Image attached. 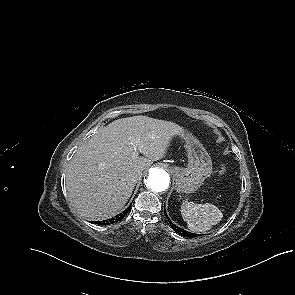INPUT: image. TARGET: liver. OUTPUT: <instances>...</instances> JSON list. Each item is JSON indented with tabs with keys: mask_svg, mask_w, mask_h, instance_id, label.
<instances>
[{
	"mask_svg": "<svg viewBox=\"0 0 295 295\" xmlns=\"http://www.w3.org/2000/svg\"><path fill=\"white\" fill-rule=\"evenodd\" d=\"M179 125L133 116L117 119L81 145L69 164L66 189L71 206L90 220L115 216L130 198L143 171L162 159ZM142 153L145 157H139Z\"/></svg>",
	"mask_w": 295,
	"mask_h": 295,
	"instance_id": "6515ba94",
	"label": "liver"
}]
</instances>
